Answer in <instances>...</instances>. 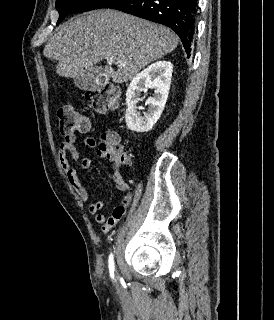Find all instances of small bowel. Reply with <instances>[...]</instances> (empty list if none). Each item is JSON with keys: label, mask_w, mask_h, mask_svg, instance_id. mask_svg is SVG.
<instances>
[{"label": "small bowel", "mask_w": 274, "mask_h": 320, "mask_svg": "<svg viewBox=\"0 0 274 320\" xmlns=\"http://www.w3.org/2000/svg\"><path fill=\"white\" fill-rule=\"evenodd\" d=\"M83 128L80 132H86L92 126V119H82L81 121ZM77 135L75 133L65 135L64 139L59 146V163L65 173V176L69 184L74 188L80 201L87 205L88 211L94 214V220L96 223L102 226L105 223H109L111 227L115 226L119 220L123 217L126 212L128 205L131 202V187L125 181L123 177V169L127 167L130 163L129 157L124 153L121 147H118L114 151H109L102 144L98 145L97 141L93 137H84L82 143L91 149H97V154L100 158H109L113 162V180L116 187L125 192L120 205L114 208L111 215H106L104 213H98L103 207L104 202L102 200H92L90 201L89 190L82 184L78 172L72 165L79 167L82 170H87L91 166V159L84 157L80 159L79 151L76 147Z\"/></svg>", "instance_id": "1"}]
</instances>
